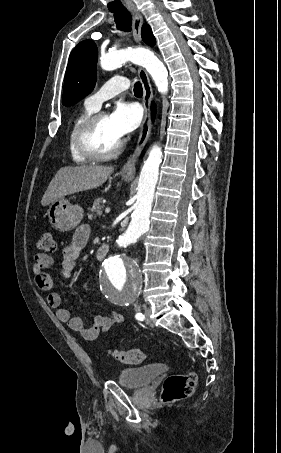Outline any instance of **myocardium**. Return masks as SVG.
<instances>
[{"label":"myocardium","mask_w":281,"mask_h":453,"mask_svg":"<svg viewBox=\"0 0 281 453\" xmlns=\"http://www.w3.org/2000/svg\"><path fill=\"white\" fill-rule=\"evenodd\" d=\"M106 117L107 114L103 112L94 114L84 122L79 130L77 146L80 153L87 159L94 161L110 160L118 156L124 147V141L121 139L109 152H101L95 148L93 143L94 132L99 123Z\"/></svg>","instance_id":"f54148a6"}]
</instances>
